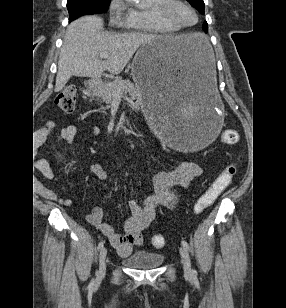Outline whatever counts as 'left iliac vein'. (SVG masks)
Listing matches in <instances>:
<instances>
[{
	"label": "left iliac vein",
	"mask_w": 286,
	"mask_h": 308,
	"mask_svg": "<svg viewBox=\"0 0 286 308\" xmlns=\"http://www.w3.org/2000/svg\"><path fill=\"white\" fill-rule=\"evenodd\" d=\"M180 254L183 260L184 273L186 276H191L193 273L192 266H191V260H190L188 251L184 246L180 248Z\"/></svg>",
	"instance_id": "left-iliac-vein-1"
}]
</instances>
